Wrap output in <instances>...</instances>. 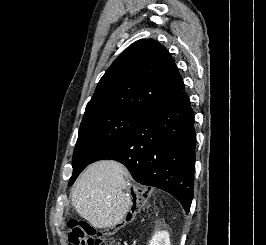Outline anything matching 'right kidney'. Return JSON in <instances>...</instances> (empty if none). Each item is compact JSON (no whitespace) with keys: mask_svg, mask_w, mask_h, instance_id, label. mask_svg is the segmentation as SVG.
<instances>
[{"mask_svg":"<svg viewBox=\"0 0 266 245\" xmlns=\"http://www.w3.org/2000/svg\"><path fill=\"white\" fill-rule=\"evenodd\" d=\"M150 245H154V237H152V239L150 241Z\"/></svg>","mask_w":266,"mask_h":245,"instance_id":"1","label":"right kidney"}]
</instances>
